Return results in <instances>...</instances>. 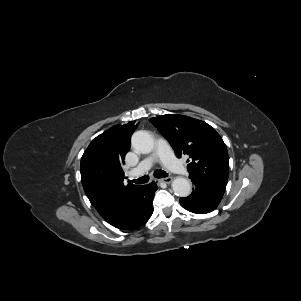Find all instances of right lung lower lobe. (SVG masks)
<instances>
[{"label":"right lung lower lobe","instance_id":"right-lung-lower-lobe-1","mask_svg":"<svg viewBox=\"0 0 301 301\" xmlns=\"http://www.w3.org/2000/svg\"><path fill=\"white\" fill-rule=\"evenodd\" d=\"M154 182L139 186L130 196L121 215L111 224L121 230H134L144 225L153 213Z\"/></svg>","mask_w":301,"mask_h":301}]
</instances>
